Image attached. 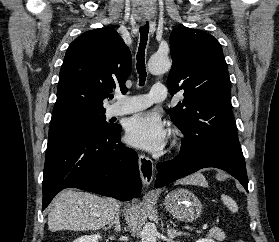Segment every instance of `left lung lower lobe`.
<instances>
[{
    "label": "left lung lower lobe",
    "instance_id": "0a47b994",
    "mask_svg": "<svg viewBox=\"0 0 279 242\" xmlns=\"http://www.w3.org/2000/svg\"><path fill=\"white\" fill-rule=\"evenodd\" d=\"M207 167L227 171L248 191L244 157L222 151L180 152L173 160L158 163L155 187L166 186L177 179Z\"/></svg>",
    "mask_w": 279,
    "mask_h": 242
}]
</instances>
